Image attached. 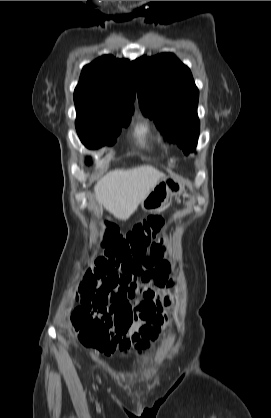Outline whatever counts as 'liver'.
Segmentation results:
<instances>
[{
    "mask_svg": "<svg viewBox=\"0 0 271 418\" xmlns=\"http://www.w3.org/2000/svg\"><path fill=\"white\" fill-rule=\"evenodd\" d=\"M165 175L151 165L115 169L102 177L94 187L100 206L119 220L128 219L142 200Z\"/></svg>",
    "mask_w": 271,
    "mask_h": 418,
    "instance_id": "1",
    "label": "liver"
}]
</instances>
